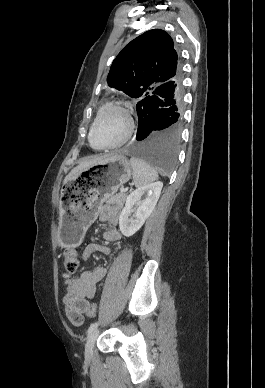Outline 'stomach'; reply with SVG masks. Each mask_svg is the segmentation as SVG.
<instances>
[{"instance_id": "obj_1", "label": "stomach", "mask_w": 265, "mask_h": 388, "mask_svg": "<svg viewBox=\"0 0 265 388\" xmlns=\"http://www.w3.org/2000/svg\"><path fill=\"white\" fill-rule=\"evenodd\" d=\"M131 177V164L120 153L103 157L68 180L61 190L58 239L62 247L79 246L105 200Z\"/></svg>"}]
</instances>
